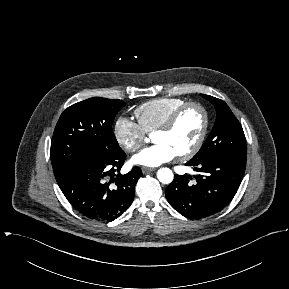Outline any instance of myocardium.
I'll list each match as a JSON object with an SVG mask.
<instances>
[{
  "label": "myocardium",
  "instance_id": "f54148a6",
  "mask_svg": "<svg viewBox=\"0 0 289 289\" xmlns=\"http://www.w3.org/2000/svg\"><path fill=\"white\" fill-rule=\"evenodd\" d=\"M190 108H195L200 111L202 118H203V123H202V128L200 130V133L194 142V144L185 152L178 154L177 157L180 160H188L192 158L194 155L198 153V151L201 149L205 138L208 133V128H209V115L207 110L203 105H201L198 102H186L180 107H178L170 116L169 118L161 125L159 126L154 132H170L175 125L177 124L178 120L180 117Z\"/></svg>",
  "mask_w": 289,
  "mask_h": 289
}]
</instances>
